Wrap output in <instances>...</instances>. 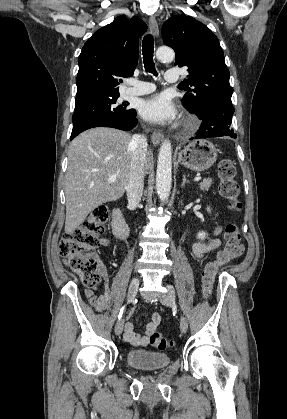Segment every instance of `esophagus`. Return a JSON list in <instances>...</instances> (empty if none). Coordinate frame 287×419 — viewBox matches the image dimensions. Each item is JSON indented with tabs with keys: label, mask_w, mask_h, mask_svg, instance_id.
<instances>
[{
	"label": "esophagus",
	"mask_w": 287,
	"mask_h": 419,
	"mask_svg": "<svg viewBox=\"0 0 287 419\" xmlns=\"http://www.w3.org/2000/svg\"><path fill=\"white\" fill-rule=\"evenodd\" d=\"M149 27L152 32V34L157 37L159 35V27L156 19L151 16L149 18ZM163 140V135L159 130H155L151 133V141L154 145H159Z\"/></svg>",
	"instance_id": "1"
}]
</instances>
